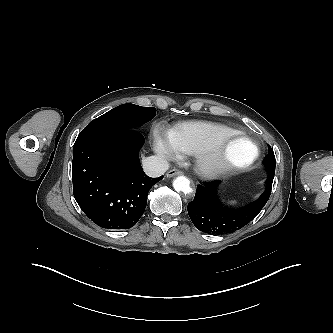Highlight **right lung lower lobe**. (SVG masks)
Wrapping results in <instances>:
<instances>
[{
  "label": "right lung lower lobe",
  "mask_w": 333,
  "mask_h": 333,
  "mask_svg": "<svg viewBox=\"0 0 333 333\" xmlns=\"http://www.w3.org/2000/svg\"><path fill=\"white\" fill-rule=\"evenodd\" d=\"M143 135L136 130L84 128L74 144L72 181L81 210L98 226L129 229L144 213L149 189L159 182L140 164Z\"/></svg>",
  "instance_id": "1"
}]
</instances>
